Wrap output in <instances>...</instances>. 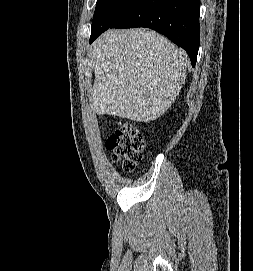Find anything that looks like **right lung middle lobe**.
<instances>
[{"label": "right lung middle lobe", "instance_id": "obj_1", "mask_svg": "<svg viewBox=\"0 0 253 271\" xmlns=\"http://www.w3.org/2000/svg\"><path fill=\"white\" fill-rule=\"evenodd\" d=\"M133 0H97L91 34L107 30Z\"/></svg>", "mask_w": 253, "mask_h": 271}]
</instances>
